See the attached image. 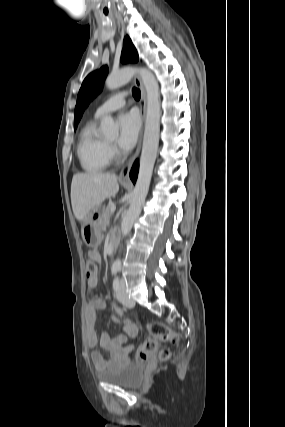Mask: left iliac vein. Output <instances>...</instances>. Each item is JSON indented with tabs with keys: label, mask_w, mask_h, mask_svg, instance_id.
Instances as JSON below:
<instances>
[{
	"label": "left iliac vein",
	"mask_w": 285,
	"mask_h": 427,
	"mask_svg": "<svg viewBox=\"0 0 285 427\" xmlns=\"http://www.w3.org/2000/svg\"><path fill=\"white\" fill-rule=\"evenodd\" d=\"M116 297L122 305L128 308H132L135 305L134 300L128 296L125 283L122 280L119 282L118 288L116 290Z\"/></svg>",
	"instance_id": "obj_1"
}]
</instances>
